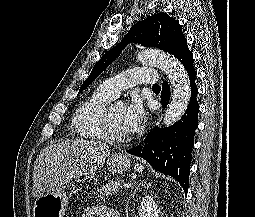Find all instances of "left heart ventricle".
Wrapping results in <instances>:
<instances>
[{
    "instance_id": "obj_1",
    "label": "left heart ventricle",
    "mask_w": 255,
    "mask_h": 217,
    "mask_svg": "<svg viewBox=\"0 0 255 217\" xmlns=\"http://www.w3.org/2000/svg\"><path fill=\"white\" fill-rule=\"evenodd\" d=\"M124 110L125 107L123 105H113L111 109V123L113 130L116 134L121 136L128 135L124 124Z\"/></svg>"
}]
</instances>
